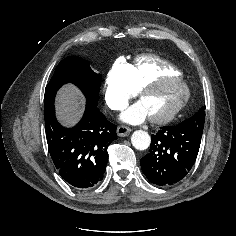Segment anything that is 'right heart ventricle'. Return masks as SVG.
Masks as SVG:
<instances>
[{
	"mask_svg": "<svg viewBox=\"0 0 236 236\" xmlns=\"http://www.w3.org/2000/svg\"><path fill=\"white\" fill-rule=\"evenodd\" d=\"M129 66V84L134 91L159 76H181L180 70L175 65L154 55H140Z\"/></svg>",
	"mask_w": 236,
	"mask_h": 236,
	"instance_id": "e07e8e85",
	"label": "right heart ventricle"
}]
</instances>
